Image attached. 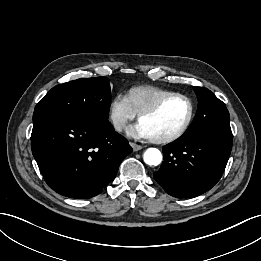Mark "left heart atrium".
Here are the masks:
<instances>
[{
	"mask_svg": "<svg viewBox=\"0 0 261 261\" xmlns=\"http://www.w3.org/2000/svg\"><path fill=\"white\" fill-rule=\"evenodd\" d=\"M127 134L135 138H150L148 131L141 122L129 127L127 129Z\"/></svg>",
	"mask_w": 261,
	"mask_h": 261,
	"instance_id": "39dd6f15",
	"label": "left heart atrium"
}]
</instances>
